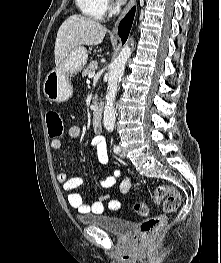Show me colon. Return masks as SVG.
Masks as SVG:
<instances>
[{"label": "colon", "mask_w": 221, "mask_h": 263, "mask_svg": "<svg viewBox=\"0 0 221 263\" xmlns=\"http://www.w3.org/2000/svg\"><path fill=\"white\" fill-rule=\"evenodd\" d=\"M48 134L51 138L60 137L64 130L61 114L56 109H50L46 113ZM155 204L163 202V214L145 219L140 226L141 239L149 244L164 228L166 215L174 213L180 206L181 198L177 190L167 184L156 186L153 194ZM134 212L140 216L148 215V207L143 202L134 204Z\"/></svg>", "instance_id": "colon-1"}]
</instances>
